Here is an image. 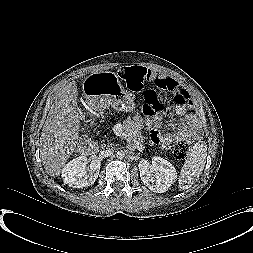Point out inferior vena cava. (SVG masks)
<instances>
[{
	"instance_id": "1",
	"label": "inferior vena cava",
	"mask_w": 253,
	"mask_h": 253,
	"mask_svg": "<svg viewBox=\"0 0 253 253\" xmlns=\"http://www.w3.org/2000/svg\"><path fill=\"white\" fill-rule=\"evenodd\" d=\"M112 154H113V150L112 149L104 150L103 151V156H105V157H110V156H112Z\"/></svg>"
}]
</instances>
